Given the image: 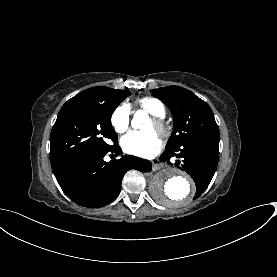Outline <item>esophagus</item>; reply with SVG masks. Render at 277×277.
I'll list each match as a JSON object with an SVG mask.
<instances>
[{"instance_id":"34e87169","label":"esophagus","mask_w":277,"mask_h":277,"mask_svg":"<svg viewBox=\"0 0 277 277\" xmlns=\"http://www.w3.org/2000/svg\"><path fill=\"white\" fill-rule=\"evenodd\" d=\"M151 164H152V170L153 171H157V170L161 169L164 166L163 163H161L158 158H155L154 160H151Z\"/></svg>"}]
</instances>
